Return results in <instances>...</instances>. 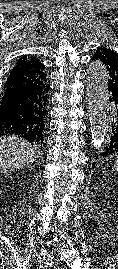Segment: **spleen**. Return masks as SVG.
I'll list each match as a JSON object with an SVG mask.
<instances>
[{
  "label": "spleen",
  "instance_id": "3e777b00",
  "mask_svg": "<svg viewBox=\"0 0 118 269\" xmlns=\"http://www.w3.org/2000/svg\"><path fill=\"white\" fill-rule=\"evenodd\" d=\"M114 167H115V170L118 172V155L116 156Z\"/></svg>",
  "mask_w": 118,
  "mask_h": 269
}]
</instances>
